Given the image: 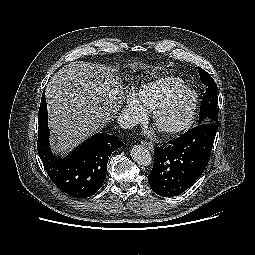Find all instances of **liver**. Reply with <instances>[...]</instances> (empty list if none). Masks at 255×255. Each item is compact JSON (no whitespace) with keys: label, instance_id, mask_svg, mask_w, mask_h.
Here are the masks:
<instances>
[{"label":"liver","instance_id":"obj_1","mask_svg":"<svg viewBox=\"0 0 255 255\" xmlns=\"http://www.w3.org/2000/svg\"><path fill=\"white\" fill-rule=\"evenodd\" d=\"M122 80L111 66L71 62L47 84L53 148L65 150L101 130L119 111Z\"/></svg>","mask_w":255,"mask_h":255}]
</instances>
